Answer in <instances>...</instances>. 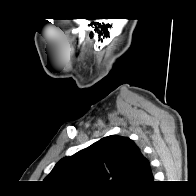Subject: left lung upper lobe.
Wrapping results in <instances>:
<instances>
[{
  "instance_id": "5c2ea615",
  "label": "left lung upper lobe",
  "mask_w": 196,
  "mask_h": 196,
  "mask_svg": "<svg viewBox=\"0 0 196 196\" xmlns=\"http://www.w3.org/2000/svg\"><path fill=\"white\" fill-rule=\"evenodd\" d=\"M149 169V160L131 139L110 135L62 158L45 180L59 188L127 192L144 183Z\"/></svg>"
}]
</instances>
